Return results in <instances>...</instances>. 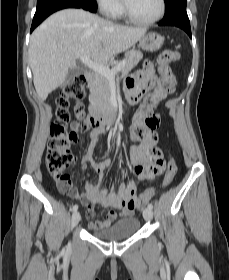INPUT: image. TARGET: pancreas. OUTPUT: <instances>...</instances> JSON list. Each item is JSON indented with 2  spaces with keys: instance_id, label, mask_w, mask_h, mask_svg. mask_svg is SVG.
I'll use <instances>...</instances> for the list:
<instances>
[{
  "instance_id": "obj_1",
  "label": "pancreas",
  "mask_w": 229,
  "mask_h": 280,
  "mask_svg": "<svg viewBox=\"0 0 229 280\" xmlns=\"http://www.w3.org/2000/svg\"><path fill=\"white\" fill-rule=\"evenodd\" d=\"M143 54L137 50H131L126 52L125 61L126 64L122 69L123 74H127L133 69L138 62L142 59ZM90 95L89 100L94 108L100 112L110 111V82L105 76L96 73L93 80L89 83Z\"/></svg>"
}]
</instances>
